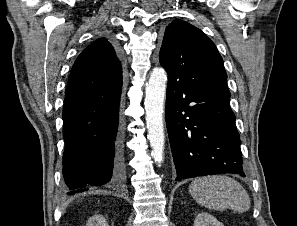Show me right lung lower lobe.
Segmentation results:
<instances>
[{
    "mask_svg": "<svg viewBox=\"0 0 297 226\" xmlns=\"http://www.w3.org/2000/svg\"><path fill=\"white\" fill-rule=\"evenodd\" d=\"M122 100V83L65 97L63 177L68 195L122 182Z\"/></svg>",
    "mask_w": 297,
    "mask_h": 226,
    "instance_id": "obj_1",
    "label": "right lung lower lobe"
}]
</instances>
